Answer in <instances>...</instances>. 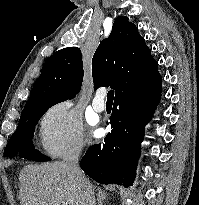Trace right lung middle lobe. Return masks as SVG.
<instances>
[{"label":"right lung middle lobe","mask_w":199,"mask_h":205,"mask_svg":"<svg viewBox=\"0 0 199 205\" xmlns=\"http://www.w3.org/2000/svg\"><path fill=\"white\" fill-rule=\"evenodd\" d=\"M62 102L55 100H36L27 103L21 113L18 127L11 136L5 151V157H15L19 155L22 158L34 161H50L51 158L42 155L35 150L32 138L39 119L51 106Z\"/></svg>","instance_id":"right-lung-middle-lobe-1"}]
</instances>
